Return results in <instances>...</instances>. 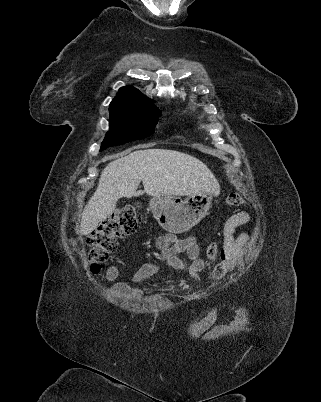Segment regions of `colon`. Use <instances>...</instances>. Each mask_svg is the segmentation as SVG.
<instances>
[{
  "instance_id": "1",
  "label": "colon",
  "mask_w": 321,
  "mask_h": 402,
  "mask_svg": "<svg viewBox=\"0 0 321 402\" xmlns=\"http://www.w3.org/2000/svg\"><path fill=\"white\" fill-rule=\"evenodd\" d=\"M226 204L230 207H240L245 204L238 193H230ZM141 222L138 208L127 204L119 207L112 215L104 219L87 237V259L91 272L98 274L108 256L117 248L119 238L135 232ZM209 260L214 261L218 256V246L212 243L207 248Z\"/></svg>"
}]
</instances>
